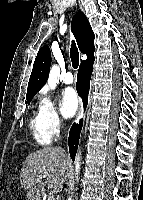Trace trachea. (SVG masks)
<instances>
[{"label":"trachea","mask_w":143,"mask_h":200,"mask_svg":"<svg viewBox=\"0 0 143 200\" xmlns=\"http://www.w3.org/2000/svg\"><path fill=\"white\" fill-rule=\"evenodd\" d=\"M70 57L72 66L74 69H76L79 65V52L74 41H72L71 44Z\"/></svg>","instance_id":"1"}]
</instances>
